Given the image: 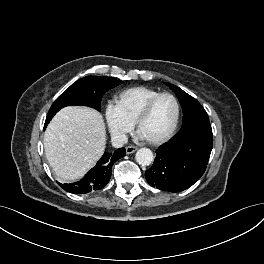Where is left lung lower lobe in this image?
<instances>
[{"mask_svg": "<svg viewBox=\"0 0 264 264\" xmlns=\"http://www.w3.org/2000/svg\"><path fill=\"white\" fill-rule=\"evenodd\" d=\"M213 145L210 124L177 133L156 152L154 164L145 172L147 182L160 190L180 192L205 172Z\"/></svg>", "mask_w": 264, "mask_h": 264, "instance_id": "0a47b994", "label": "left lung lower lobe"}]
</instances>
